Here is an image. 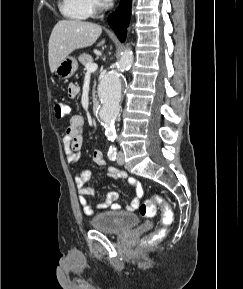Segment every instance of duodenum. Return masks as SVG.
<instances>
[{
	"label": "duodenum",
	"instance_id": "duodenum-1",
	"mask_svg": "<svg viewBox=\"0 0 243 289\" xmlns=\"http://www.w3.org/2000/svg\"><path fill=\"white\" fill-rule=\"evenodd\" d=\"M100 103L97 99H94L92 102V112L97 115L99 113Z\"/></svg>",
	"mask_w": 243,
	"mask_h": 289
}]
</instances>
